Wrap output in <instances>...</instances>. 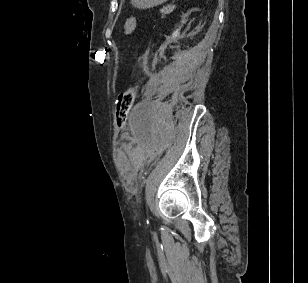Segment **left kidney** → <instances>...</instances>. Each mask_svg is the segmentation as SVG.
<instances>
[{
	"mask_svg": "<svg viewBox=\"0 0 308 283\" xmlns=\"http://www.w3.org/2000/svg\"><path fill=\"white\" fill-rule=\"evenodd\" d=\"M183 23H184V21H183ZM179 34H180L179 29H177L176 31L173 32L171 39L177 38L179 36Z\"/></svg>",
	"mask_w": 308,
	"mask_h": 283,
	"instance_id": "5707ae66",
	"label": "left kidney"
}]
</instances>
